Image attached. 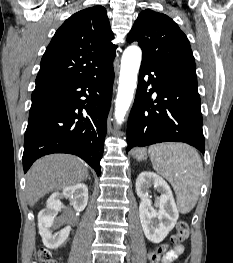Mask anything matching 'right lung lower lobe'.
I'll return each instance as SVG.
<instances>
[{
    "label": "right lung lower lobe",
    "mask_w": 233,
    "mask_h": 263,
    "mask_svg": "<svg viewBox=\"0 0 233 263\" xmlns=\"http://www.w3.org/2000/svg\"><path fill=\"white\" fill-rule=\"evenodd\" d=\"M113 78L110 62L90 77L33 91L24 141L25 173L43 155L69 153L100 175Z\"/></svg>",
    "instance_id": "1"
}]
</instances>
